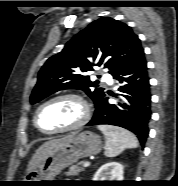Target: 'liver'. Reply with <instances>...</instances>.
Returning <instances> with one entry per match:
<instances>
[{"label":"liver","instance_id":"obj_1","mask_svg":"<svg viewBox=\"0 0 178 186\" xmlns=\"http://www.w3.org/2000/svg\"><path fill=\"white\" fill-rule=\"evenodd\" d=\"M75 134L63 136L57 139H52L44 144H42L35 152L33 157L28 163L27 166V173L32 171L42 160L46 158V156L51 153L54 149L58 148L59 146L63 145L67 140L73 137Z\"/></svg>","mask_w":178,"mask_h":186}]
</instances>
